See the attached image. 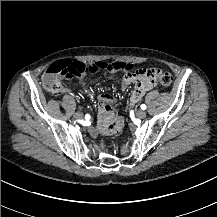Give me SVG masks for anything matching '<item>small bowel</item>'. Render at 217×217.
Listing matches in <instances>:
<instances>
[{
    "mask_svg": "<svg viewBox=\"0 0 217 217\" xmlns=\"http://www.w3.org/2000/svg\"><path fill=\"white\" fill-rule=\"evenodd\" d=\"M130 64V63H128ZM125 71L122 79L120 89L125 92L131 84H133L138 78L133 76V72L130 70ZM79 82L84 89H87V78L80 77ZM64 92L69 93L68 88H64ZM152 93V87L149 84L142 85L141 82L131 92L128 104L130 107L136 105L142 96H149ZM96 111L95 116L98 119L96 122V128H90L89 132L92 136H97L98 130L105 136H118L123 131V118L115 111L111 106L114 102L113 97L107 93L96 94L95 97Z\"/></svg>",
    "mask_w": 217,
    "mask_h": 217,
    "instance_id": "obj_1",
    "label": "small bowel"
}]
</instances>
